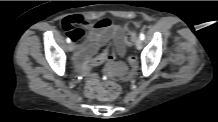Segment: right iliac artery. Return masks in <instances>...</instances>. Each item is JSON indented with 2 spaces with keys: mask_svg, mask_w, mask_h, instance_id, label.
Segmentation results:
<instances>
[{
  "mask_svg": "<svg viewBox=\"0 0 218 122\" xmlns=\"http://www.w3.org/2000/svg\"><path fill=\"white\" fill-rule=\"evenodd\" d=\"M67 43L71 42V39L69 37L66 38Z\"/></svg>",
  "mask_w": 218,
  "mask_h": 122,
  "instance_id": "obj_1",
  "label": "right iliac artery"
}]
</instances>
